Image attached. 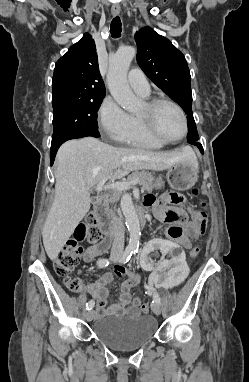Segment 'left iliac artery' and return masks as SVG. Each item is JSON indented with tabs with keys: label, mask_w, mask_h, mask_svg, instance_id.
Returning a JSON list of instances; mask_svg holds the SVG:
<instances>
[{
	"label": "left iliac artery",
	"mask_w": 249,
	"mask_h": 382,
	"mask_svg": "<svg viewBox=\"0 0 249 382\" xmlns=\"http://www.w3.org/2000/svg\"><path fill=\"white\" fill-rule=\"evenodd\" d=\"M135 253V252H134ZM148 293H153V303L160 304L161 299L159 294L155 291L154 288H148Z\"/></svg>",
	"instance_id": "obj_1"
}]
</instances>
